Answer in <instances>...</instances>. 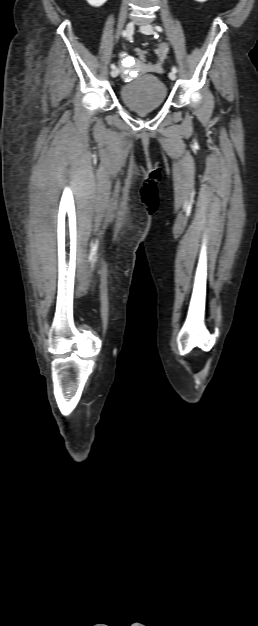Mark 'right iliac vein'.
I'll list each match as a JSON object with an SVG mask.
<instances>
[{"label": "right iliac vein", "mask_w": 258, "mask_h": 626, "mask_svg": "<svg viewBox=\"0 0 258 626\" xmlns=\"http://www.w3.org/2000/svg\"><path fill=\"white\" fill-rule=\"evenodd\" d=\"M125 31H126L127 37H130V36L133 34V32H134V24H133V22H129V23L126 25V29H125ZM118 74H119V69H118V68H114V69L111 71V76H112L113 78L117 77V76H118Z\"/></svg>", "instance_id": "63e3f726"}]
</instances>
